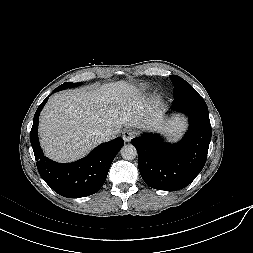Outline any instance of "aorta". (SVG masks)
I'll return each mask as SVG.
<instances>
[{
    "instance_id": "1",
    "label": "aorta",
    "mask_w": 253,
    "mask_h": 253,
    "mask_svg": "<svg viewBox=\"0 0 253 253\" xmlns=\"http://www.w3.org/2000/svg\"><path fill=\"white\" fill-rule=\"evenodd\" d=\"M120 153L122 158L125 160H133L137 156V150L132 144L122 146Z\"/></svg>"
}]
</instances>
